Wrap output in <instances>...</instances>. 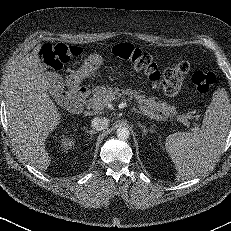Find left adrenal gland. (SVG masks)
I'll return each instance as SVG.
<instances>
[{
    "label": "left adrenal gland",
    "mask_w": 231,
    "mask_h": 231,
    "mask_svg": "<svg viewBox=\"0 0 231 231\" xmlns=\"http://www.w3.org/2000/svg\"><path fill=\"white\" fill-rule=\"evenodd\" d=\"M138 126H139V127L142 129V131H143L142 137H144L148 131L151 132V130H149V129H147L145 126L141 125L140 122H138Z\"/></svg>",
    "instance_id": "obj_1"
}]
</instances>
